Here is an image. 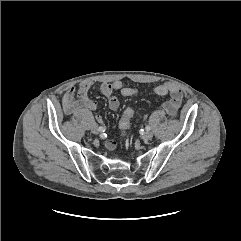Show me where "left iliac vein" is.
Here are the masks:
<instances>
[{
  "instance_id": "obj_1",
  "label": "left iliac vein",
  "mask_w": 241,
  "mask_h": 241,
  "mask_svg": "<svg viewBox=\"0 0 241 241\" xmlns=\"http://www.w3.org/2000/svg\"><path fill=\"white\" fill-rule=\"evenodd\" d=\"M152 137H153V134H152L151 132H149V131H146V132L143 134L142 139H143L144 141H149V140L152 139Z\"/></svg>"
}]
</instances>
